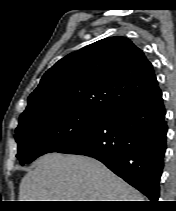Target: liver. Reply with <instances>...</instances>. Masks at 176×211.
I'll list each match as a JSON object with an SVG mask.
<instances>
[{
  "mask_svg": "<svg viewBox=\"0 0 176 211\" xmlns=\"http://www.w3.org/2000/svg\"><path fill=\"white\" fill-rule=\"evenodd\" d=\"M143 196L94 158L48 153L21 180L19 201H143Z\"/></svg>",
  "mask_w": 176,
  "mask_h": 211,
  "instance_id": "6515ba94",
  "label": "liver"
}]
</instances>
